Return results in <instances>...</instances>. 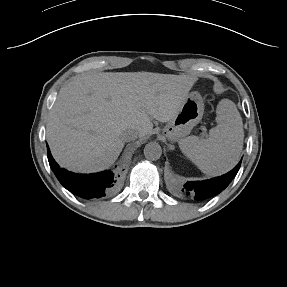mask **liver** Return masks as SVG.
<instances>
[{
    "instance_id": "1",
    "label": "liver",
    "mask_w": 287,
    "mask_h": 287,
    "mask_svg": "<svg viewBox=\"0 0 287 287\" xmlns=\"http://www.w3.org/2000/svg\"><path fill=\"white\" fill-rule=\"evenodd\" d=\"M196 77L151 73L90 72L62 87L50 111L47 141L55 160L69 170L98 172L110 167L125 142L153 130L151 118L172 120Z\"/></svg>"
}]
</instances>
